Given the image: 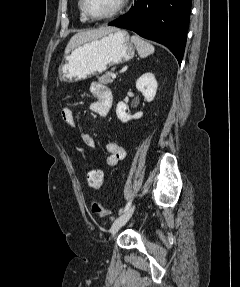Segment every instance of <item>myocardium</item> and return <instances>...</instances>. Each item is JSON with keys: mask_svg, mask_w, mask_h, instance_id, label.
Instances as JSON below:
<instances>
[{"mask_svg": "<svg viewBox=\"0 0 240 287\" xmlns=\"http://www.w3.org/2000/svg\"><path fill=\"white\" fill-rule=\"evenodd\" d=\"M127 1L128 0H119L116 7L110 13L103 15V16L93 15L88 9L87 0H81V6H82L83 13L86 15L88 19L92 21H107L117 16L124 9Z\"/></svg>", "mask_w": 240, "mask_h": 287, "instance_id": "f54148a6", "label": "myocardium"}]
</instances>
